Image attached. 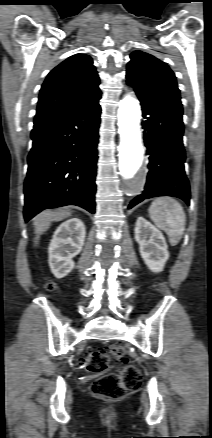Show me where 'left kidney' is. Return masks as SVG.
I'll return each mask as SVG.
<instances>
[{
    "label": "left kidney",
    "mask_w": 212,
    "mask_h": 438,
    "mask_svg": "<svg viewBox=\"0 0 212 438\" xmlns=\"http://www.w3.org/2000/svg\"><path fill=\"white\" fill-rule=\"evenodd\" d=\"M135 240L139 244L141 257L153 272H161L169 258L167 243L160 230L143 217H138Z\"/></svg>",
    "instance_id": "1"
}]
</instances>
